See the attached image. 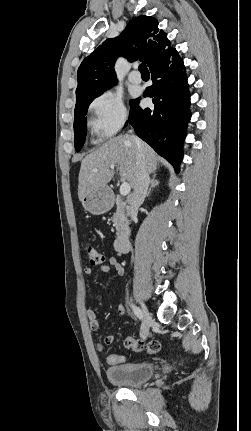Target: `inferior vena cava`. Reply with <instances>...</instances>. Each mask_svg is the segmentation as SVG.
<instances>
[{"mask_svg": "<svg viewBox=\"0 0 251 431\" xmlns=\"http://www.w3.org/2000/svg\"><path fill=\"white\" fill-rule=\"evenodd\" d=\"M132 133V130L129 131ZM137 144L136 153V182L134 185V191L130 197V216L134 220L137 217L138 208L144 202L146 197L148 186L150 183L149 173L146 167L145 156L141 149V143L138 138L134 137Z\"/></svg>", "mask_w": 251, "mask_h": 431, "instance_id": "obj_1", "label": "inferior vena cava"}]
</instances>
